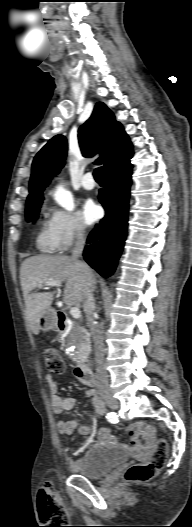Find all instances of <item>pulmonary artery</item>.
<instances>
[{
    "mask_svg": "<svg viewBox=\"0 0 192 527\" xmlns=\"http://www.w3.org/2000/svg\"><path fill=\"white\" fill-rule=\"evenodd\" d=\"M81 185L86 190H92L95 187V182L91 173H86L82 177Z\"/></svg>",
    "mask_w": 192,
    "mask_h": 527,
    "instance_id": "pulmonary-artery-1",
    "label": "pulmonary artery"
}]
</instances>
